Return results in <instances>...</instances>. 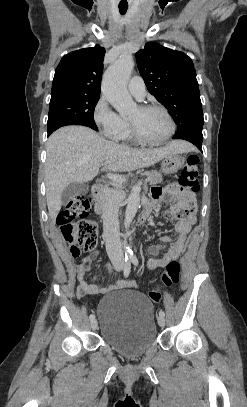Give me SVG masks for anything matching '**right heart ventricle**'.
Masks as SVG:
<instances>
[{
    "label": "right heart ventricle",
    "mask_w": 247,
    "mask_h": 407,
    "mask_svg": "<svg viewBox=\"0 0 247 407\" xmlns=\"http://www.w3.org/2000/svg\"><path fill=\"white\" fill-rule=\"evenodd\" d=\"M117 140L124 141V142H129V143L134 141V139H133V137H132V135L130 133L129 126H128L127 122H126V126H125L122 134L119 136V138Z\"/></svg>",
    "instance_id": "e07e8e85"
}]
</instances>
